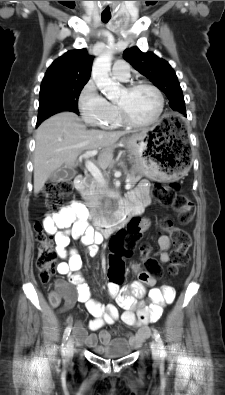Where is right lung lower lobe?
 I'll return each mask as SVG.
<instances>
[{"label": "right lung lower lobe", "instance_id": "1", "mask_svg": "<svg viewBox=\"0 0 225 395\" xmlns=\"http://www.w3.org/2000/svg\"><path fill=\"white\" fill-rule=\"evenodd\" d=\"M40 123H41V122H37V125H36V126L40 125Z\"/></svg>", "mask_w": 225, "mask_h": 395}]
</instances>
